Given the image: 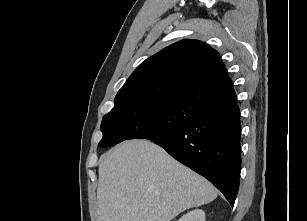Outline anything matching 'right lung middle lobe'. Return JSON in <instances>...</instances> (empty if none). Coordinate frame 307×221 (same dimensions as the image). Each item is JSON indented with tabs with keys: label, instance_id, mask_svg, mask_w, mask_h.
Instances as JSON below:
<instances>
[{
	"label": "right lung middle lobe",
	"instance_id": "dd1d6c3e",
	"mask_svg": "<svg viewBox=\"0 0 307 221\" xmlns=\"http://www.w3.org/2000/svg\"><path fill=\"white\" fill-rule=\"evenodd\" d=\"M205 108L185 100L159 97L116 102L102 119L103 138L98 146L167 134L192 121Z\"/></svg>",
	"mask_w": 307,
	"mask_h": 221
}]
</instances>
